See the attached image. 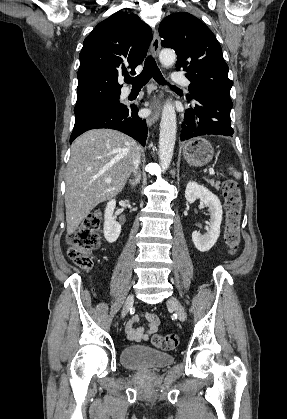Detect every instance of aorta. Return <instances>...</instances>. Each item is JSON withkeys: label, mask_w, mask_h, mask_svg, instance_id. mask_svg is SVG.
Segmentation results:
<instances>
[{"label": "aorta", "mask_w": 287, "mask_h": 419, "mask_svg": "<svg viewBox=\"0 0 287 419\" xmlns=\"http://www.w3.org/2000/svg\"><path fill=\"white\" fill-rule=\"evenodd\" d=\"M159 59L164 67H170L175 63L176 55L171 49H163L159 54ZM176 132L175 107L170 102H167L162 109L159 135V160L163 171H166L171 163Z\"/></svg>", "instance_id": "1"}]
</instances>
